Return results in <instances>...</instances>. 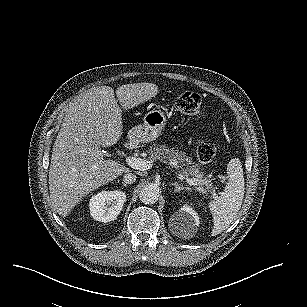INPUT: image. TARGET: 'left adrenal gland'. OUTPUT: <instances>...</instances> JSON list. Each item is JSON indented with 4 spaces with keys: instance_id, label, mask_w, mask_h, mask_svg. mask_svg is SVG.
<instances>
[{
    "instance_id": "obj_1",
    "label": "left adrenal gland",
    "mask_w": 307,
    "mask_h": 307,
    "mask_svg": "<svg viewBox=\"0 0 307 307\" xmlns=\"http://www.w3.org/2000/svg\"><path fill=\"white\" fill-rule=\"evenodd\" d=\"M175 187L174 192H180L182 190H189L188 187H184L183 185L179 184L178 182L171 183Z\"/></svg>"
}]
</instances>
